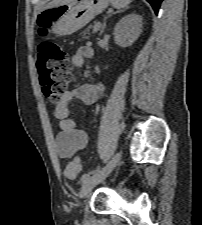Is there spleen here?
<instances>
[{
  "label": "spleen",
  "instance_id": "obj_1",
  "mask_svg": "<svg viewBox=\"0 0 202 225\" xmlns=\"http://www.w3.org/2000/svg\"><path fill=\"white\" fill-rule=\"evenodd\" d=\"M110 1L115 8L121 9V8H127L128 4L132 0H110Z\"/></svg>",
  "mask_w": 202,
  "mask_h": 225
}]
</instances>
